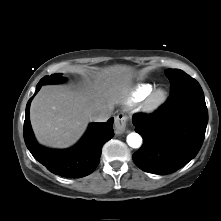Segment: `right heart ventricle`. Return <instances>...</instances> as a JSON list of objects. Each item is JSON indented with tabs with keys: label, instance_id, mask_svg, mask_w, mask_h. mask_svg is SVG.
Here are the masks:
<instances>
[{
	"label": "right heart ventricle",
	"instance_id": "right-heart-ventricle-1",
	"mask_svg": "<svg viewBox=\"0 0 221 221\" xmlns=\"http://www.w3.org/2000/svg\"><path fill=\"white\" fill-rule=\"evenodd\" d=\"M154 86L149 83H140L135 86L131 94V100L134 102L141 101L148 97L153 91Z\"/></svg>",
	"mask_w": 221,
	"mask_h": 221
}]
</instances>
